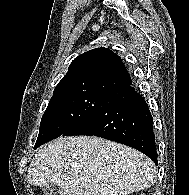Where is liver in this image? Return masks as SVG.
I'll list each match as a JSON object with an SVG mask.
<instances>
[{
    "mask_svg": "<svg viewBox=\"0 0 189 195\" xmlns=\"http://www.w3.org/2000/svg\"><path fill=\"white\" fill-rule=\"evenodd\" d=\"M156 166L143 153L100 137H60L32 159L28 181L60 195H128L153 186Z\"/></svg>",
    "mask_w": 189,
    "mask_h": 195,
    "instance_id": "6515ba94",
    "label": "liver"
}]
</instances>
